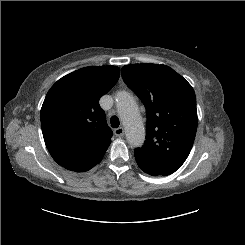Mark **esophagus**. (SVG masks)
<instances>
[{
    "mask_svg": "<svg viewBox=\"0 0 245 245\" xmlns=\"http://www.w3.org/2000/svg\"><path fill=\"white\" fill-rule=\"evenodd\" d=\"M114 133L116 136L121 137L124 135V129L122 127H119L117 129H115Z\"/></svg>",
    "mask_w": 245,
    "mask_h": 245,
    "instance_id": "esophagus-1",
    "label": "esophagus"
}]
</instances>
